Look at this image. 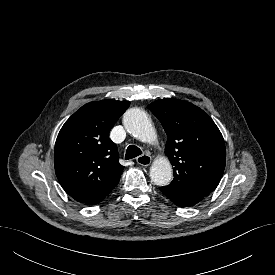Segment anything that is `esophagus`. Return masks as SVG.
Returning <instances> with one entry per match:
<instances>
[{"mask_svg": "<svg viewBox=\"0 0 275 275\" xmlns=\"http://www.w3.org/2000/svg\"><path fill=\"white\" fill-rule=\"evenodd\" d=\"M152 158L148 154H143L136 158V162L141 166H148L151 164Z\"/></svg>", "mask_w": 275, "mask_h": 275, "instance_id": "esophagus-1", "label": "esophagus"}]
</instances>
